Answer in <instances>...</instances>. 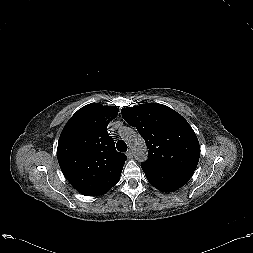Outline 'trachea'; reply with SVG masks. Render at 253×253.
<instances>
[{"mask_svg":"<svg viewBox=\"0 0 253 253\" xmlns=\"http://www.w3.org/2000/svg\"><path fill=\"white\" fill-rule=\"evenodd\" d=\"M116 148L120 152H126L127 151V144L123 140H119L116 143Z\"/></svg>","mask_w":253,"mask_h":253,"instance_id":"obj_1","label":"trachea"}]
</instances>
